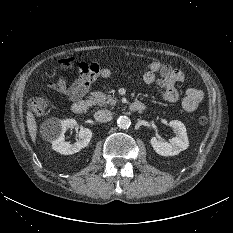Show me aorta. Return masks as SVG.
<instances>
[{
	"label": "aorta",
	"mask_w": 233,
	"mask_h": 233,
	"mask_svg": "<svg viewBox=\"0 0 233 233\" xmlns=\"http://www.w3.org/2000/svg\"><path fill=\"white\" fill-rule=\"evenodd\" d=\"M117 125L121 129H128L130 127V125H131V120L127 116H120L117 119Z\"/></svg>",
	"instance_id": "1"
}]
</instances>
